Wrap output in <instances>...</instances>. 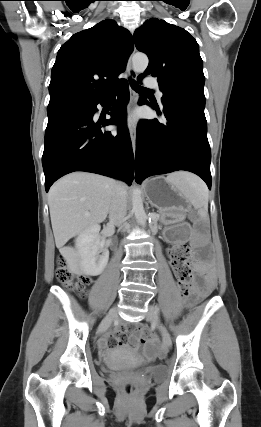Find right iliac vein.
Returning <instances> with one entry per match:
<instances>
[{
  "mask_svg": "<svg viewBox=\"0 0 261 427\" xmlns=\"http://www.w3.org/2000/svg\"><path fill=\"white\" fill-rule=\"evenodd\" d=\"M116 316H117V308L114 307L109 311L108 315L101 322V324L98 328V333L101 334V333L105 332V330L111 325L113 319Z\"/></svg>",
  "mask_w": 261,
  "mask_h": 427,
  "instance_id": "1",
  "label": "right iliac vein"
}]
</instances>
